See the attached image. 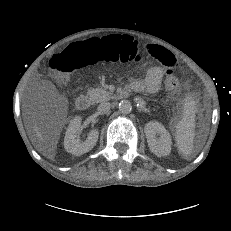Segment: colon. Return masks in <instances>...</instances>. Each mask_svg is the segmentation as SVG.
I'll list each match as a JSON object with an SVG mask.
<instances>
[{
  "mask_svg": "<svg viewBox=\"0 0 231 231\" xmlns=\"http://www.w3.org/2000/svg\"><path fill=\"white\" fill-rule=\"evenodd\" d=\"M141 59L138 44L131 36L113 35L71 44L62 54L51 59L50 67L67 79L74 70L97 62L138 63ZM179 85L175 72L166 67V89L175 92Z\"/></svg>",
  "mask_w": 231,
  "mask_h": 231,
  "instance_id": "colon-1",
  "label": "colon"
}]
</instances>
